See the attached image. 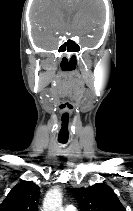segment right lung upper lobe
I'll use <instances>...</instances> for the list:
<instances>
[{
	"instance_id": "cb5924a9",
	"label": "right lung upper lobe",
	"mask_w": 133,
	"mask_h": 211,
	"mask_svg": "<svg viewBox=\"0 0 133 211\" xmlns=\"http://www.w3.org/2000/svg\"><path fill=\"white\" fill-rule=\"evenodd\" d=\"M39 187L32 181L17 184L0 205V211H37Z\"/></svg>"
}]
</instances>
